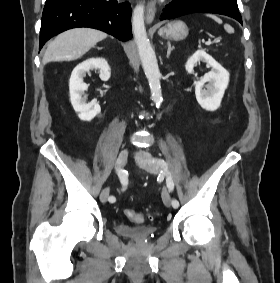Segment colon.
<instances>
[{
  "label": "colon",
  "mask_w": 280,
  "mask_h": 283,
  "mask_svg": "<svg viewBox=\"0 0 280 283\" xmlns=\"http://www.w3.org/2000/svg\"><path fill=\"white\" fill-rule=\"evenodd\" d=\"M125 215L127 216L128 219H130L133 222L140 223L143 221V216L132 209H126Z\"/></svg>",
  "instance_id": "1"
}]
</instances>
